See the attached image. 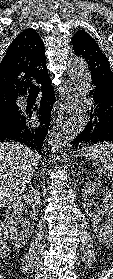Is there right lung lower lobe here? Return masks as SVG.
<instances>
[{"instance_id":"right-lung-lower-lobe-1","label":"right lung lower lobe","mask_w":113,"mask_h":279,"mask_svg":"<svg viewBox=\"0 0 113 279\" xmlns=\"http://www.w3.org/2000/svg\"><path fill=\"white\" fill-rule=\"evenodd\" d=\"M38 83L41 84L43 92L40 108L35 106L39 116L40 125L38 127L30 124L31 111L19 112L16 117L4 124H0V141L12 140L23 143L33 150L41 153L43 140L48 132L50 123V109L53 104L54 91L51 87L49 75H45Z\"/></svg>"}]
</instances>
